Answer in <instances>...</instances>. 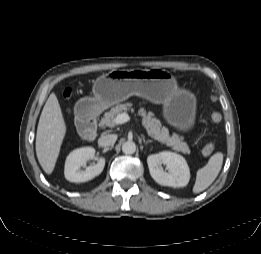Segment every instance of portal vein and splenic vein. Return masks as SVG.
Instances as JSON below:
<instances>
[{
    "instance_id": "portal-vein-and-splenic-vein-1",
    "label": "portal vein and splenic vein",
    "mask_w": 261,
    "mask_h": 254,
    "mask_svg": "<svg viewBox=\"0 0 261 254\" xmlns=\"http://www.w3.org/2000/svg\"><path fill=\"white\" fill-rule=\"evenodd\" d=\"M129 120H130L129 115L124 112V113L118 114L115 117L114 122H115V124H123V123H125V122H127Z\"/></svg>"
}]
</instances>
